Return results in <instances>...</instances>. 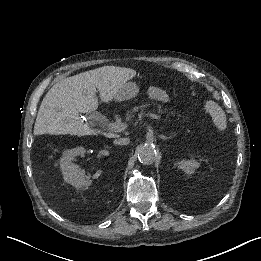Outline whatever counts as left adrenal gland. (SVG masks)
<instances>
[{
	"mask_svg": "<svg viewBox=\"0 0 261 261\" xmlns=\"http://www.w3.org/2000/svg\"><path fill=\"white\" fill-rule=\"evenodd\" d=\"M158 137L161 138L163 141L170 139V137H166V136H163V135H159Z\"/></svg>",
	"mask_w": 261,
	"mask_h": 261,
	"instance_id": "obj_1",
	"label": "left adrenal gland"
}]
</instances>
